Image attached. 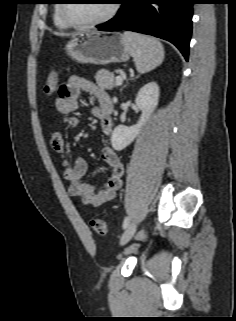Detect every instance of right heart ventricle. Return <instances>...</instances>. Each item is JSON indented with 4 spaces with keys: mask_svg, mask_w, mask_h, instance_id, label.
Returning a JSON list of instances; mask_svg holds the SVG:
<instances>
[{
    "mask_svg": "<svg viewBox=\"0 0 236 321\" xmlns=\"http://www.w3.org/2000/svg\"><path fill=\"white\" fill-rule=\"evenodd\" d=\"M59 7H60V5H57L54 10V15H53L54 24L58 28H68L69 25L64 22V20L62 19L61 15H60Z\"/></svg>",
    "mask_w": 236,
    "mask_h": 321,
    "instance_id": "e07e8e85",
    "label": "right heart ventricle"
}]
</instances>
